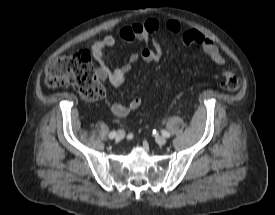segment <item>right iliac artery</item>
I'll use <instances>...</instances> for the list:
<instances>
[{
    "instance_id": "obj_1",
    "label": "right iliac artery",
    "mask_w": 275,
    "mask_h": 215,
    "mask_svg": "<svg viewBox=\"0 0 275 215\" xmlns=\"http://www.w3.org/2000/svg\"><path fill=\"white\" fill-rule=\"evenodd\" d=\"M115 135H116V132H115V131H112V132H110V134H109V138H110V139H113V138L115 137Z\"/></svg>"
}]
</instances>
